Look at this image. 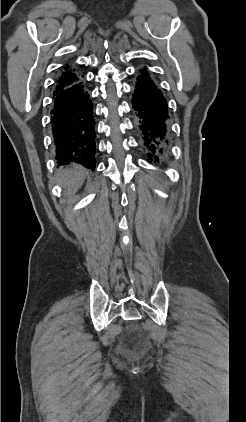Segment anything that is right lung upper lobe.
<instances>
[{
	"instance_id": "obj_1",
	"label": "right lung upper lobe",
	"mask_w": 246,
	"mask_h": 422,
	"mask_svg": "<svg viewBox=\"0 0 246 422\" xmlns=\"http://www.w3.org/2000/svg\"><path fill=\"white\" fill-rule=\"evenodd\" d=\"M81 76L80 72L78 71V69L74 68L73 66L66 64L63 67V72L61 73L58 81H57V86H65L67 84H70L74 81H76L79 77Z\"/></svg>"
}]
</instances>
